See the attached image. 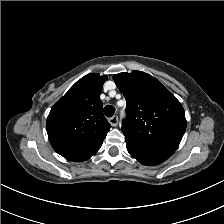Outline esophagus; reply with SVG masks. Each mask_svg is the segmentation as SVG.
Segmentation results:
<instances>
[{"mask_svg": "<svg viewBox=\"0 0 224 224\" xmlns=\"http://www.w3.org/2000/svg\"><path fill=\"white\" fill-rule=\"evenodd\" d=\"M109 123L111 126L116 127L118 125V116H113L109 119Z\"/></svg>", "mask_w": 224, "mask_h": 224, "instance_id": "esophagus-1", "label": "esophagus"}]
</instances>
